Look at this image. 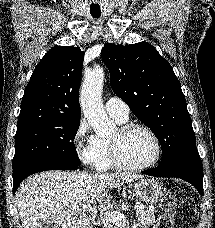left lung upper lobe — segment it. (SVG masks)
<instances>
[{
    "instance_id": "1",
    "label": "left lung upper lobe",
    "mask_w": 215,
    "mask_h": 228,
    "mask_svg": "<svg viewBox=\"0 0 215 228\" xmlns=\"http://www.w3.org/2000/svg\"><path fill=\"white\" fill-rule=\"evenodd\" d=\"M111 87L158 138L161 163L196 146L180 82L166 59L147 42L106 44L101 50Z\"/></svg>"
}]
</instances>
